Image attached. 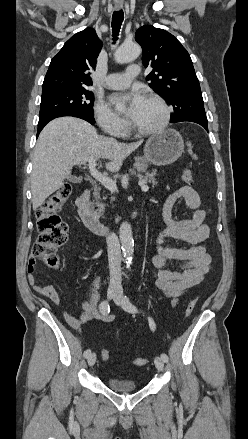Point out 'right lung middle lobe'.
Segmentation results:
<instances>
[{"mask_svg": "<svg viewBox=\"0 0 248 439\" xmlns=\"http://www.w3.org/2000/svg\"><path fill=\"white\" fill-rule=\"evenodd\" d=\"M94 95L85 87L44 94L41 97L39 119L62 112L84 113L94 116Z\"/></svg>", "mask_w": 248, "mask_h": 439, "instance_id": "dd1d6c3e", "label": "right lung middle lobe"}]
</instances>
